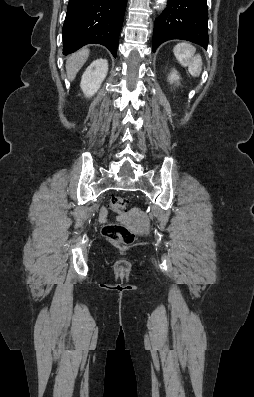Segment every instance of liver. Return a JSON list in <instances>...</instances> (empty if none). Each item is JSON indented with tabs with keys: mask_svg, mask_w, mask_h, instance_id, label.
Wrapping results in <instances>:
<instances>
[{
	"mask_svg": "<svg viewBox=\"0 0 254 397\" xmlns=\"http://www.w3.org/2000/svg\"><path fill=\"white\" fill-rule=\"evenodd\" d=\"M89 53L90 51L88 48H82L67 58L66 71L69 80L73 81L75 79L78 71L87 61Z\"/></svg>",
	"mask_w": 254,
	"mask_h": 397,
	"instance_id": "1",
	"label": "liver"
}]
</instances>
